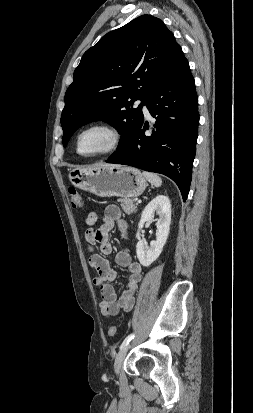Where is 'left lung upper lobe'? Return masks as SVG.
Wrapping results in <instances>:
<instances>
[{
    "instance_id": "obj_1",
    "label": "left lung upper lobe",
    "mask_w": 253,
    "mask_h": 413,
    "mask_svg": "<svg viewBox=\"0 0 253 413\" xmlns=\"http://www.w3.org/2000/svg\"><path fill=\"white\" fill-rule=\"evenodd\" d=\"M180 45L164 23L142 15L107 33L88 49L74 71L62 111L63 146L82 125L109 122L121 134L117 154L134 138L154 88L173 63ZM141 100L138 108L132 103Z\"/></svg>"
}]
</instances>
